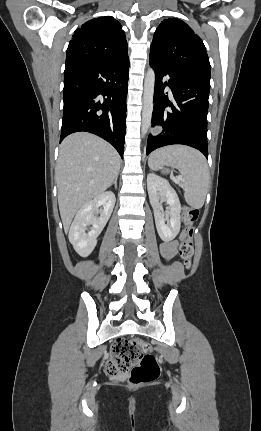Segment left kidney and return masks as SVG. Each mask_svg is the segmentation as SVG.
<instances>
[{"label":"left kidney","mask_w":261,"mask_h":431,"mask_svg":"<svg viewBox=\"0 0 261 431\" xmlns=\"http://www.w3.org/2000/svg\"><path fill=\"white\" fill-rule=\"evenodd\" d=\"M147 190L150 204L153 207L155 224L160 238L169 242L179 233L181 227V204L175 190L167 180L150 173L147 175ZM164 200L170 207V220L160 212L159 200Z\"/></svg>","instance_id":"1"}]
</instances>
